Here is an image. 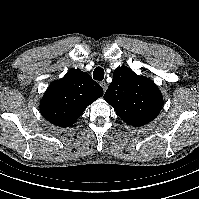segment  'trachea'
I'll return each instance as SVG.
<instances>
[{
  "instance_id": "3493384b",
  "label": "trachea",
  "mask_w": 199,
  "mask_h": 199,
  "mask_svg": "<svg viewBox=\"0 0 199 199\" xmlns=\"http://www.w3.org/2000/svg\"><path fill=\"white\" fill-rule=\"evenodd\" d=\"M93 78L97 81H102L104 79V70L101 67H96L93 72Z\"/></svg>"
}]
</instances>
